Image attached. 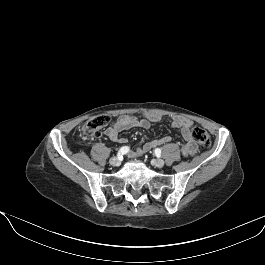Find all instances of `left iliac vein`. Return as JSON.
Masks as SVG:
<instances>
[{"mask_svg":"<svg viewBox=\"0 0 265 265\" xmlns=\"http://www.w3.org/2000/svg\"><path fill=\"white\" fill-rule=\"evenodd\" d=\"M164 161L162 159H153L152 160V165H154L155 167H163L164 166Z\"/></svg>","mask_w":265,"mask_h":265,"instance_id":"1","label":"left iliac vein"}]
</instances>
